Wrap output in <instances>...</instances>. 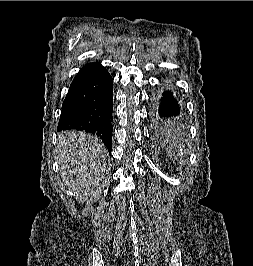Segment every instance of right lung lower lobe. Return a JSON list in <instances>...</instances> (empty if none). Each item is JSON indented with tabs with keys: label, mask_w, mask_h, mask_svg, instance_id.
<instances>
[{
	"label": "right lung lower lobe",
	"mask_w": 253,
	"mask_h": 266,
	"mask_svg": "<svg viewBox=\"0 0 253 266\" xmlns=\"http://www.w3.org/2000/svg\"><path fill=\"white\" fill-rule=\"evenodd\" d=\"M113 79L98 62L85 65L72 81L57 131L77 129L97 135L112 149Z\"/></svg>",
	"instance_id": "98d812e1"
}]
</instances>
